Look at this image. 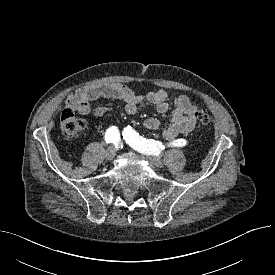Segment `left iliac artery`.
<instances>
[{
  "mask_svg": "<svg viewBox=\"0 0 275 275\" xmlns=\"http://www.w3.org/2000/svg\"><path fill=\"white\" fill-rule=\"evenodd\" d=\"M122 135L124 140L134 149L147 155H158L160 150L164 149L161 142L141 137L131 126L124 128ZM186 145L187 141L185 139H177L169 143V146L173 147H184Z\"/></svg>",
  "mask_w": 275,
  "mask_h": 275,
  "instance_id": "left-iliac-artery-1",
  "label": "left iliac artery"
}]
</instances>
